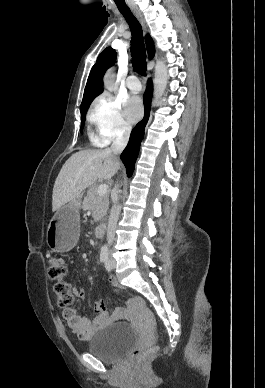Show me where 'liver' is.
<instances>
[{
  "label": "liver",
  "instance_id": "liver-1",
  "mask_svg": "<svg viewBox=\"0 0 265 388\" xmlns=\"http://www.w3.org/2000/svg\"><path fill=\"white\" fill-rule=\"evenodd\" d=\"M94 166V170H90ZM120 162L111 150H82L73 154L62 166L54 184L52 212L75 200L96 180H111L118 172Z\"/></svg>",
  "mask_w": 265,
  "mask_h": 388
}]
</instances>
